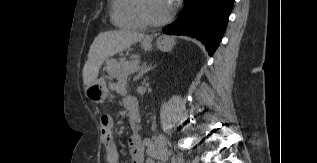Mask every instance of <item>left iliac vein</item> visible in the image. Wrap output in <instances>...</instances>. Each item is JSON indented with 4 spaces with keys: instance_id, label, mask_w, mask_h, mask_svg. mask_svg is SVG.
Instances as JSON below:
<instances>
[{
    "instance_id": "left-iliac-vein-1",
    "label": "left iliac vein",
    "mask_w": 317,
    "mask_h": 163,
    "mask_svg": "<svg viewBox=\"0 0 317 163\" xmlns=\"http://www.w3.org/2000/svg\"><path fill=\"white\" fill-rule=\"evenodd\" d=\"M161 159L163 160V161H165L164 159H165V154L163 153L162 155H161ZM175 162V161H174Z\"/></svg>"
}]
</instances>
